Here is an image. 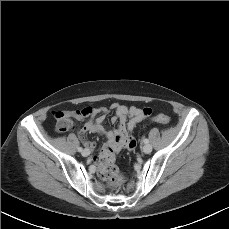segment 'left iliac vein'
<instances>
[{"mask_svg":"<svg viewBox=\"0 0 229 229\" xmlns=\"http://www.w3.org/2000/svg\"><path fill=\"white\" fill-rule=\"evenodd\" d=\"M142 150L144 153L149 154L152 151V146L150 144H145Z\"/></svg>","mask_w":229,"mask_h":229,"instance_id":"left-iliac-vein-1","label":"left iliac vein"}]
</instances>
